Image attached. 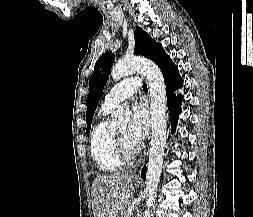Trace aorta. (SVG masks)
I'll list each match as a JSON object with an SVG mask.
<instances>
[{
  "label": "aorta",
  "mask_w": 253,
  "mask_h": 217,
  "mask_svg": "<svg viewBox=\"0 0 253 217\" xmlns=\"http://www.w3.org/2000/svg\"><path fill=\"white\" fill-rule=\"evenodd\" d=\"M135 72L146 77L150 91V112L152 124V138L149 149V160L146 172V210L145 217H149L150 208L157 196L160 181L164 148L166 144V91L160 68L150 60L144 58H124L118 61L111 70V77L119 80ZM131 112L128 108L119 107L113 112V121L117 125H126Z\"/></svg>",
  "instance_id": "aorta-1"
}]
</instances>
